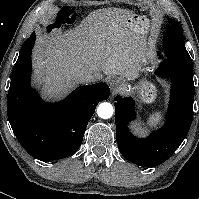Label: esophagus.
<instances>
[{
	"label": "esophagus",
	"mask_w": 199,
	"mask_h": 199,
	"mask_svg": "<svg viewBox=\"0 0 199 199\" xmlns=\"http://www.w3.org/2000/svg\"><path fill=\"white\" fill-rule=\"evenodd\" d=\"M111 87V95H115L121 90L122 81L120 79H112L109 82Z\"/></svg>",
	"instance_id": "34e87169"
}]
</instances>
